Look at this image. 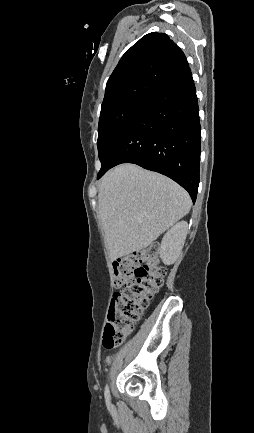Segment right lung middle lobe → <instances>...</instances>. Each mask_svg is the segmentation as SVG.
Wrapping results in <instances>:
<instances>
[{"mask_svg": "<svg viewBox=\"0 0 254 433\" xmlns=\"http://www.w3.org/2000/svg\"><path fill=\"white\" fill-rule=\"evenodd\" d=\"M147 101L148 99L140 98L126 99L101 108L97 140L101 170L116 141Z\"/></svg>", "mask_w": 254, "mask_h": 433, "instance_id": "dd1d6c3e", "label": "right lung middle lobe"}]
</instances>
